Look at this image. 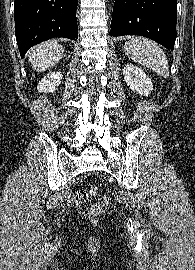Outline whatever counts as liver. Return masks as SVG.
<instances>
[{
	"label": "liver",
	"instance_id": "6515ba94",
	"mask_svg": "<svg viewBox=\"0 0 195 270\" xmlns=\"http://www.w3.org/2000/svg\"><path fill=\"white\" fill-rule=\"evenodd\" d=\"M64 49L57 40L41 43L28 54V60L33 69L38 72L46 71L55 66L63 57Z\"/></svg>",
	"mask_w": 195,
	"mask_h": 270
}]
</instances>
